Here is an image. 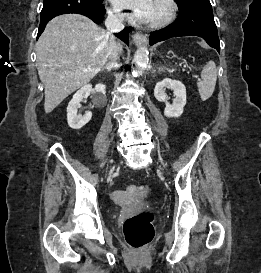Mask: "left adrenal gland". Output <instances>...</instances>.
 Masks as SVG:
<instances>
[{
    "label": "left adrenal gland",
    "mask_w": 261,
    "mask_h": 273,
    "mask_svg": "<svg viewBox=\"0 0 261 273\" xmlns=\"http://www.w3.org/2000/svg\"><path fill=\"white\" fill-rule=\"evenodd\" d=\"M163 69L162 68H159L158 72L162 71Z\"/></svg>",
    "instance_id": "obj_1"
}]
</instances>
